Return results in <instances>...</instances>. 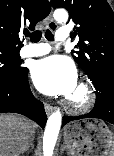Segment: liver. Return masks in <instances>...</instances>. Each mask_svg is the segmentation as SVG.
Listing matches in <instances>:
<instances>
[{
  "label": "liver",
  "mask_w": 114,
  "mask_h": 156,
  "mask_svg": "<svg viewBox=\"0 0 114 156\" xmlns=\"http://www.w3.org/2000/svg\"><path fill=\"white\" fill-rule=\"evenodd\" d=\"M36 124L15 114H0V156H19L31 143Z\"/></svg>",
  "instance_id": "6515ba94"
}]
</instances>
